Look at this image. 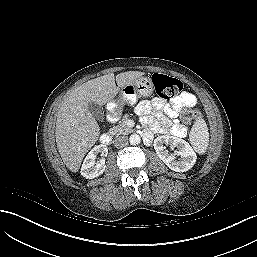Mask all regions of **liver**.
Listing matches in <instances>:
<instances>
[{
  "label": "liver",
  "instance_id": "6515ba94",
  "mask_svg": "<svg viewBox=\"0 0 257 257\" xmlns=\"http://www.w3.org/2000/svg\"><path fill=\"white\" fill-rule=\"evenodd\" d=\"M142 75L144 73L139 71L123 72L116 77L110 73L89 80L67 96L58 112L55 136L58 152L70 171L79 170L85 154L100 135L99 125L89 112L88 104L95 102L100 106L104 105L121 88Z\"/></svg>",
  "mask_w": 257,
  "mask_h": 257
}]
</instances>
